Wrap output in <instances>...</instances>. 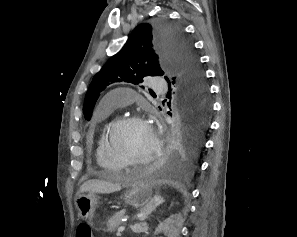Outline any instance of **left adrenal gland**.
Masks as SVG:
<instances>
[{"label": "left adrenal gland", "mask_w": 297, "mask_h": 237, "mask_svg": "<svg viewBox=\"0 0 297 237\" xmlns=\"http://www.w3.org/2000/svg\"><path fill=\"white\" fill-rule=\"evenodd\" d=\"M164 202L163 198L159 195H156L152 201L141 209L140 212V221H144L152 212L156 210V208Z\"/></svg>", "instance_id": "left-adrenal-gland-1"}]
</instances>
